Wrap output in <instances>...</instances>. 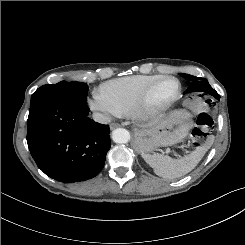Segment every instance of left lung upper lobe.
Wrapping results in <instances>:
<instances>
[{"label":"left lung upper lobe","mask_w":245,"mask_h":245,"mask_svg":"<svg viewBox=\"0 0 245 245\" xmlns=\"http://www.w3.org/2000/svg\"><path fill=\"white\" fill-rule=\"evenodd\" d=\"M183 78L189 80L190 86L189 89L185 93L190 92H203L213 96V93H216L208 84L206 79H202L200 77H195L189 74H181Z\"/></svg>","instance_id":"5c2ea615"}]
</instances>
